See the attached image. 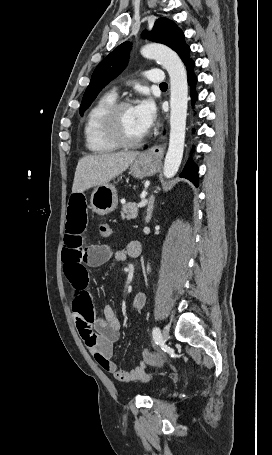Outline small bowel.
Masks as SVG:
<instances>
[{
    "instance_id": "small-bowel-1",
    "label": "small bowel",
    "mask_w": 272,
    "mask_h": 455,
    "mask_svg": "<svg viewBox=\"0 0 272 455\" xmlns=\"http://www.w3.org/2000/svg\"><path fill=\"white\" fill-rule=\"evenodd\" d=\"M87 223V206L82 194H75L68 204L62 258L64 274L72 290V316L80 337L97 363L122 382L142 381L148 377L146 364L140 362L131 370H121L113 361V345L121 331V321L110 305L103 308L101 318H96L88 289L89 269L111 258L122 261L127 256L138 257L141 245L130 240L123 249L109 245H85L84 231ZM146 303V294L137 292L132 308L141 311Z\"/></svg>"
}]
</instances>
